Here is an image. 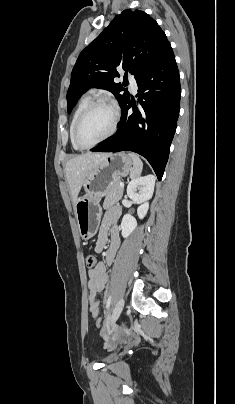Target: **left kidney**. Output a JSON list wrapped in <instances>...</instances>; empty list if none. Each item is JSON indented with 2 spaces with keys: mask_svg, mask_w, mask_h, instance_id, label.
<instances>
[{
  "mask_svg": "<svg viewBox=\"0 0 235 404\" xmlns=\"http://www.w3.org/2000/svg\"><path fill=\"white\" fill-rule=\"evenodd\" d=\"M155 180L154 175H146L133 179L127 186L128 197L134 203L140 204L137 209V215L140 219H143L147 214L149 208L148 201L153 196ZM136 227V219L130 214H125L121 222L122 236L127 238Z\"/></svg>",
  "mask_w": 235,
  "mask_h": 404,
  "instance_id": "left-kidney-1",
  "label": "left kidney"
}]
</instances>
